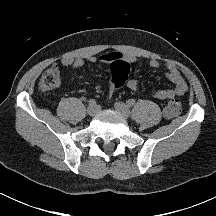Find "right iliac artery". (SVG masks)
Here are the masks:
<instances>
[{
	"label": "right iliac artery",
	"instance_id": "82829eb1",
	"mask_svg": "<svg viewBox=\"0 0 216 216\" xmlns=\"http://www.w3.org/2000/svg\"><path fill=\"white\" fill-rule=\"evenodd\" d=\"M89 105H90V106L96 105V101H95L94 99H91V100L89 101Z\"/></svg>",
	"mask_w": 216,
	"mask_h": 216
}]
</instances>
